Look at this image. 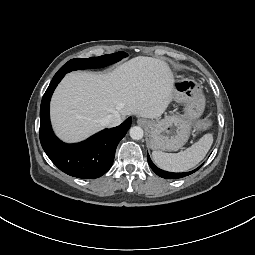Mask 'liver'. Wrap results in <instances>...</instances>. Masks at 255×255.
I'll return each mask as SVG.
<instances>
[{"label":"liver","instance_id":"liver-1","mask_svg":"<svg viewBox=\"0 0 255 255\" xmlns=\"http://www.w3.org/2000/svg\"><path fill=\"white\" fill-rule=\"evenodd\" d=\"M175 80L161 59L139 56L112 72H72L65 76L51 101L56 134L77 142L101 130L110 114L158 118L173 100Z\"/></svg>","mask_w":255,"mask_h":255}]
</instances>
